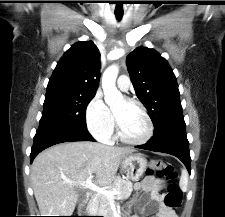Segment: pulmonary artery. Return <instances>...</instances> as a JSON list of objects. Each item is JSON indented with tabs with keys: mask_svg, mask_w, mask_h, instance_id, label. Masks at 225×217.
Returning <instances> with one entry per match:
<instances>
[{
	"mask_svg": "<svg viewBox=\"0 0 225 217\" xmlns=\"http://www.w3.org/2000/svg\"><path fill=\"white\" fill-rule=\"evenodd\" d=\"M117 86L120 90L127 91L130 87V80L128 76L126 75L119 76L117 79Z\"/></svg>",
	"mask_w": 225,
	"mask_h": 217,
	"instance_id": "1",
	"label": "pulmonary artery"
}]
</instances>
